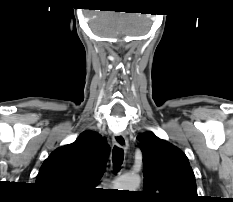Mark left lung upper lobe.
Segmentation results:
<instances>
[{
	"label": "left lung upper lobe",
	"instance_id": "obj_1",
	"mask_svg": "<svg viewBox=\"0 0 233 202\" xmlns=\"http://www.w3.org/2000/svg\"><path fill=\"white\" fill-rule=\"evenodd\" d=\"M137 139L143 154L146 201L197 202L196 181L186 155L152 132Z\"/></svg>",
	"mask_w": 233,
	"mask_h": 202
}]
</instances>
